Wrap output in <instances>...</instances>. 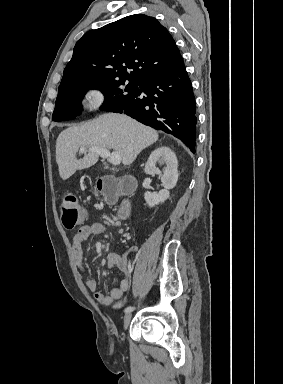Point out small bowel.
<instances>
[{"instance_id": "c3829d8e", "label": "small bowel", "mask_w": 283, "mask_h": 384, "mask_svg": "<svg viewBox=\"0 0 283 384\" xmlns=\"http://www.w3.org/2000/svg\"><path fill=\"white\" fill-rule=\"evenodd\" d=\"M106 227L102 223L94 222L80 227L72 241V252L77 265L83 269V249L82 243L92 235L103 234ZM106 265L109 268H116L122 274L119 285L113 288L109 294H104L98 289V283L95 279H88L86 287L91 291L94 299L103 305H111L120 299L130 286V268L126 260L116 253H109L106 258Z\"/></svg>"}]
</instances>
